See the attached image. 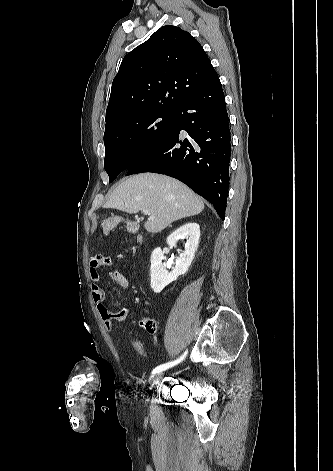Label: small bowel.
<instances>
[{
    "instance_id": "c3829d8e",
    "label": "small bowel",
    "mask_w": 333,
    "mask_h": 471,
    "mask_svg": "<svg viewBox=\"0 0 333 471\" xmlns=\"http://www.w3.org/2000/svg\"><path fill=\"white\" fill-rule=\"evenodd\" d=\"M113 264V258L108 255H96L89 260V276L91 280V293L93 301L98 309V313L103 321L104 327L107 331H111L115 321L124 320L129 314V307L126 305L117 312L110 311L104 303V291L100 286V272L101 267H107ZM110 278L122 288H128L130 285L129 279L122 272L121 269L110 271Z\"/></svg>"
}]
</instances>
